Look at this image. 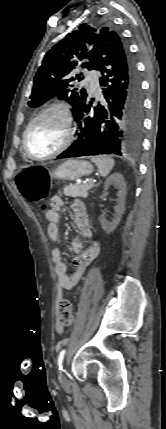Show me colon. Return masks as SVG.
I'll return each mask as SVG.
<instances>
[{"mask_svg":"<svg viewBox=\"0 0 166 429\" xmlns=\"http://www.w3.org/2000/svg\"><path fill=\"white\" fill-rule=\"evenodd\" d=\"M20 194L30 203L44 205L49 189V175L42 166L23 168L15 178ZM57 324L69 326L73 321V305L69 299H60L56 310Z\"/></svg>","mask_w":166,"mask_h":429,"instance_id":"1","label":"colon"}]
</instances>
